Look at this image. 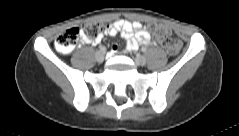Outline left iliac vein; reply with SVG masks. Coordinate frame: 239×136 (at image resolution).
I'll return each instance as SVG.
<instances>
[{
	"mask_svg": "<svg viewBox=\"0 0 239 136\" xmlns=\"http://www.w3.org/2000/svg\"><path fill=\"white\" fill-rule=\"evenodd\" d=\"M135 63L137 65H145L146 64V58L142 55H137L135 57Z\"/></svg>",
	"mask_w": 239,
	"mask_h": 136,
	"instance_id": "obj_1",
	"label": "left iliac vein"
}]
</instances>
